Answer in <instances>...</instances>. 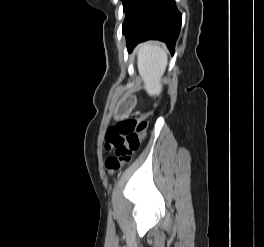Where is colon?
I'll use <instances>...</instances> for the list:
<instances>
[{"label":"colon","instance_id":"5ec220e1","mask_svg":"<svg viewBox=\"0 0 264 247\" xmlns=\"http://www.w3.org/2000/svg\"><path fill=\"white\" fill-rule=\"evenodd\" d=\"M150 115L149 113L136 119L123 120L107 130L105 149L114 151V156L105 160V167L110 173L120 170L131 161L148 128L147 119Z\"/></svg>","mask_w":264,"mask_h":247}]
</instances>
